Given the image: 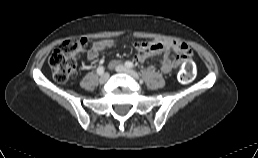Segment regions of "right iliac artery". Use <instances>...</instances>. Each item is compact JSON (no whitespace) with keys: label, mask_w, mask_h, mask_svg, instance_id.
<instances>
[{"label":"right iliac artery","mask_w":258,"mask_h":158,"mask_svg":"<svg viewBox=\"0 0 258 158\" xmlns=\"http://www.w3.org/2000/svg\"><path fill=\"white\" fill-rule=\"evenodd\" d=\"M103 73H104V67L103 66H99L97 68V74L102 75Z\"/></svg>","instance_id":"1"}]
</instances>
